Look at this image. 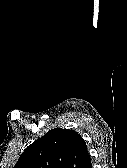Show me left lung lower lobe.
<instances>
[{"label": "left lung lower lobe", "instance_id": "0a47b994", "mask_svg": "<svg viewBox=\"0 0 127 168\" xmlns=\"http://www.w3.org/2000/svg\"><path fill=\"white\" fill-rule=\"evenodd\" d=\"M81 168H92L91 161H90V156H89L88 153L85 157L84 163H83Z\"/></svg>", "mask_w": 127, "mask_h": 168}]
</instances>
